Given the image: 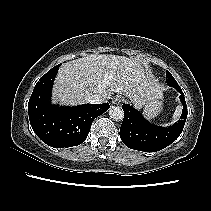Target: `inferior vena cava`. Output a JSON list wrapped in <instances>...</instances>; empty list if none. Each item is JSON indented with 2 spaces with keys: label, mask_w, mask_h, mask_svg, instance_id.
<instances>
[{
  "label": "inferior vena cava",
  "mask_w": 211,
  "mask_h": 211,
  "mask_svg": "<svg viewBox=\"0 0 211 211\" xmlns=\"http://www.w3.org/2000/svg\"><path fill=\"white\" fill-rule=\"evenodd\" d=\"M85 100L87 103H91V104H100L103 102V98L99 94L89 95L85 98Z\"/></svg>",
  "instance_id": "602c4592"
}]
</instances>
